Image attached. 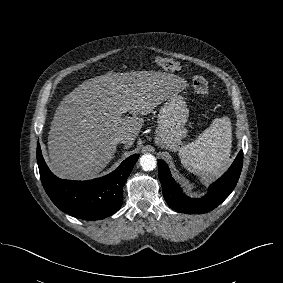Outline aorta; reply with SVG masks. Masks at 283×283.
I'll list each match as a JSON object with an SVG mask.
<instances>
[{
    "label": "aorta",
    "mask_w": 283,
    "mask_h": 283,
    "mask_svg": "<svg viewBox=\"0 0 283 283\" xmlns=\"http://www.w3.org/2000/svg\"><path fill=\"white\" fill-rule=\"evenodd\" d=\"M140 165L144 171H151L155 169L157 161L152 154H144L140 158Z\"/></svg>",
    "instance_id": "1"
}]
</instances>
